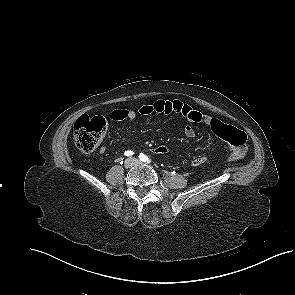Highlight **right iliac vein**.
<instances>
[{
	"label": "right iliac vein",
	"instance_id": "obj_1",
	"mask_svg": "<svg viewBox=\"0 0 295 295\" xmlns=\"http://www.w3.org/2000/svg\"><path fill=\"white\" fill-rule=\"evenodd\" d=\"M133 164L134 163H133L132 159L128 158V159L125 160L124 167L126 169H130L133 166Z\"/></svg>",
	"mask_w": 295,
	"mask_h": 295
}]
</instances>
